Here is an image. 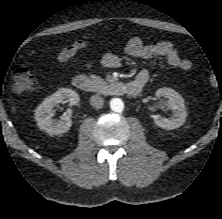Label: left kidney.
Masks as SVG:
<instances>
[{"instance_id":"5707ae66","label":"left kidney","mask_w":222,"mask_h":219,"mask_svg":"<svg viewBox=\"0 0 222 219\" xmlns=\"http://www.w3.org/2000/svg\"><path fill=\"white\" fill-rule=\"evenodd\" d=\"M155 94L158 98L166 99L163 103L173 113L169 118L155 116L154 123L166 130H173L183 125L187 116L183 97L175 90L166 87L158 89Z\"/></svg>"}]
</instances>
